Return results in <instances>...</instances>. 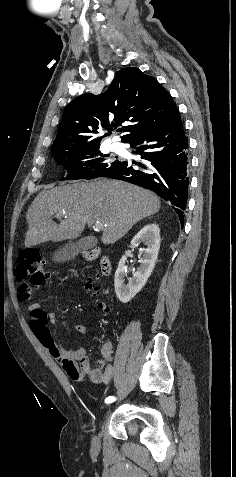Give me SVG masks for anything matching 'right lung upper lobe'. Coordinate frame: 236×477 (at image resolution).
<instances>
[{
  "label": "right lung upper lobe",
  "instance_id": "obj_1",
  "mask_svg": "<svg viewBox=\"0 0 236 477\" xmlns=\"http://www.w3.org/2000/svg\"><path fill=\"white\" fill-rule=\"evenodd\" d=\"M178 112L170 94L155 78L138 68H125L115 73L109 90L100 95L83 94L73 99L64 110L52 153L74 152L99 146L95 134L123 126L122 142L156 130L167 124ZM115 122V123H113Z\"/></svg>",
  "mask_w": 236,
  "mask_h": 477
}]
</instances>
